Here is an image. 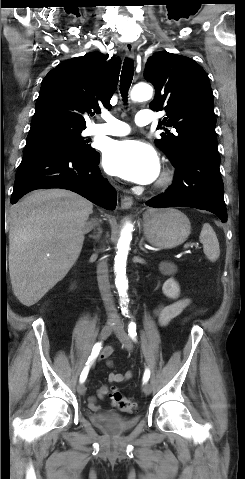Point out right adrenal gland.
<instances>
[{
	"label": "right adrenal gland",
	"mask_w": 245,
	"mask_h": 479,
	"mask_svg": "<svg viewBox=\"0 0 245 479\" xmlns=\"http://www.w3.org/2000/svg\"><path fill=\"white\" fill-rule=\"evenodd\" d=\"M96 225H97L98 232L96 234L89 235V237L97 241V240H99V238L102 234V229L100 228V226L98 224H96Z\"/></svg>",
	"instance_id": "2a0ac1e0"
}]
</instances>
